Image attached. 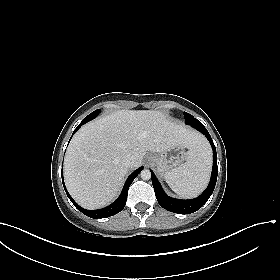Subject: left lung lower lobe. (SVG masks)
Wrapping results in <instances>:
<instances>
[{
  "instance_id": "obj_1",
  "label": "left lung lower lobe",
  "mask_w": 280,
  "mask_h": 280,
  "mask_svg": "<svg viewBox=\"0 0 280 280\" xmlns=\"http://www.w3.org/2000/svg\"><path fill=\"white\" fill-rule=\"evenodd\" d=\"M192 127L196 128L200 132H202L207 139L209 140L212 149H213V169L211 174L210 183L207 187V189L197 198L191 199V200H180V199H174L171 197H168L164 190L162 189L159 181L155 177V174L153 171L152 173V184L155 190V195L157 198L158 203L166 210L178 213V214H190L197 210H199L210 198L212 195L216 180H217V174H218V167H217V154H216V148L213 143V140L208 133L205 126L201 123L199 125H193Z\"/></svg>"
}]
</instances>
